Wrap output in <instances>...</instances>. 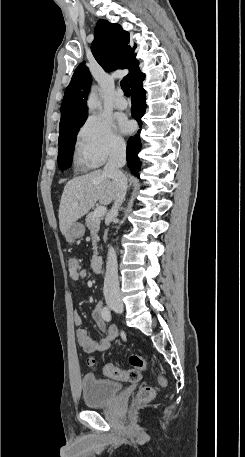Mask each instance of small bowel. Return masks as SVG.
<instances>
[{"mask_svg": "<svg viewBox=\"0 0 245 457\" xmlns=\"http://www.w3.org/2000/svg\"><path fill=\"white\" fill-rule=\"evenodd\" d=\"M88 275L86 270H79L75 273L70 274L71 279L74 281H81L86 278ZM104 305L102 302H98L93 309L92 312V319L96 326L105 332L104 337H102L99 341L93 339L88 331L85 328L79 327L76 331V338L79 346L87 353H96L102 352L108 349L116 339L118 335V330L115 326L106 325V320H104L102 312L104 309ZM74 322L77 326H81L83 324V319L78 312L74 313Z\"/></svg>", "mask_w": 245, "mask_h": 457, "instance_id": "small-bowel-1", "label": "small bowel"}]
</instances>
